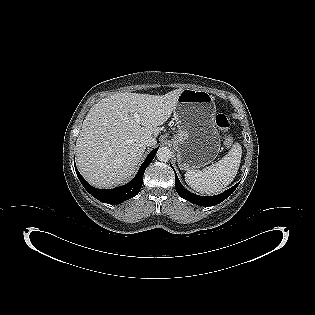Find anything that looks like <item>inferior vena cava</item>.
<instances>
[{"label": "inferior vena cava", "mask_w": 315, "mask_h": 315, "mask_svg": "<svg viewBox=\"0 0 315 315\" xmlns=\"http://www.w3.org/2000/svg\"><path fill=\"white\" fill-rule=\"evenodd\" d=\"M142 143L146 146H152L155 143V139L152 137H144Z\"/></svg>", "instance_id": "1"}]
</instances>
